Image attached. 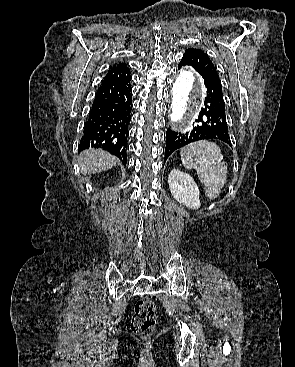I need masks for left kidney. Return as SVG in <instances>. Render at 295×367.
Segmentation results:
<instances>
[{"label":"left kidney","mask_w":295,"mask_h":367,"mask_svg":"<svg viewBox=\"0 0 295 367\" xmlns=\"http://www.w3.org/2000/svg\"><path fill=\"white\" fill-rule=\"evenodd\" d=\"M168 184L176 201L190 209L200 208L199 189L189 174L173 169L168 176Z\"/></svg>","instance_id":"1"}]
</instances>
